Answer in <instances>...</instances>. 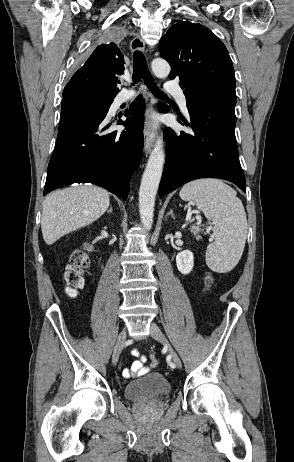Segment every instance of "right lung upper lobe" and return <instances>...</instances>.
Instances as JSON below:
<instances>
[{"label":"right lung upper lobe","instance_id":"right-lung-upper-lobe-1","mask_svg":"<svg viewBox=\"0 0 294 462\" xmlns=\"http://www.w3.org/2000/svg\"><path fill=\"white\" fill-rule=\"evenodd\" d=\"M124 72V56L115 43L99 45L85 64L73 75L63 91L66 98L75 93L116 96Z\"/></svg>","mask_w":294,"mask_h":462}]
</instances>
